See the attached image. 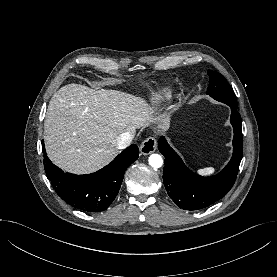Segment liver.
<instances>
[{
    "label": "liver",
    "instance_id": "1",
    "mask_svg": "<svg viewBox=\"0 0 277 277\" xmlns=\"http://www.w3.org/2000/svg\"><path fill=\"white\" fill-rule=\"evenodd\" d=\"M156 108L140 97L117 90H95L68 84L51 98L44 124L45 147L50 160L75 174L95 172L118 154L117 139L153 122ZM166 131V115L155 116Z\"/></svg>",
    "mask_w": 277,
    "mask_h": 277
}]
</instances>
